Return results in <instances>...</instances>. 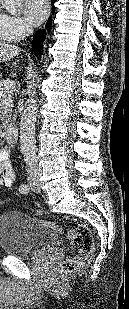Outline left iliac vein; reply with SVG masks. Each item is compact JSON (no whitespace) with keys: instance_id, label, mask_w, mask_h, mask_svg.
Wrapping results in <instances>:
<instances>
[{"instance_id":"4c4485c4","label":"left iliac vein","mask_w":129,"mask_h":309,"mask_svg":"<svg viewBox=\"0 0 129 309\" xmlns=\"http://www.w3.org/2000/svg\"><path fill=\"white\" fill-rule=\"evenodd\" d=\"M31 189H32V191H34V192H36V193H39V192H40L39 183L36 182L35 184L31 185Z\"/></svg>"}]
</instances>
